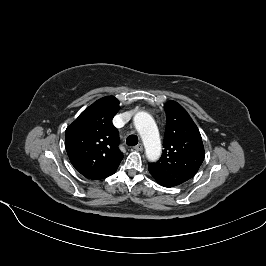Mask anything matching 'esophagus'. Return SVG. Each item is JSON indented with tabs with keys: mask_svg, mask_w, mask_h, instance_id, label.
<instances>
[{
	"mask_svg": "<svg viewBox=\"0 0 266 266\" xmlns=\"http://www.w3.org/2000/svg\"><path fill=\"white\" fill-rule=\"evenodd\" d=\"M135 150L137 151H142L143 150V145L141 143L137 144L135 147H134Z\"/></svg>",
	"mask_w": 266,
	"mask_h": 266,
	"instance_id": "obj_1",
	"label": "esophagus"
}]
</instances>
